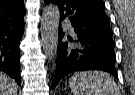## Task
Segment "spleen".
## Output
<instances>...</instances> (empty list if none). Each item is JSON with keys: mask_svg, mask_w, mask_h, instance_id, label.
Segmentation results:
<instances>
[{"mask_svg": "<svg viewBox=\"0 0 135 95\" xmlns=\"http://www.w3.org/2000/svg\"><path fill=\"white\" fill-rule=\"evenodd\" d=\"M73 95H119V88L110 75L100 71L77 72L69 79Z\"/></svg>", "mask_w": 135, "mask_h": 95, "instance_id": "3e777b00", "label": "spleen"}]
</instances>
